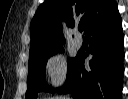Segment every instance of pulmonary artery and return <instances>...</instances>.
Instances as JSON below:
<instances>
[{"label":"pulmonary artery","mask_w":128,"mask_h":99,"mask_svg":"<svg viewBox=\"0 0 128 99\" xmlns=\"http://www.w3.org/2000/svg\"><path fill=\"white\" fill-rule=\"evenodd\" d=\"M82 43L83 42H82L81 37L78 34H76L75 41H74L75 46L76 47H81L82 46Z\"/></svg>","instance_id":"1"}]
</instances>
